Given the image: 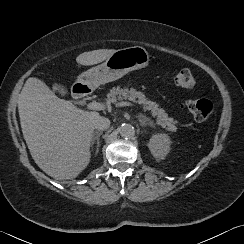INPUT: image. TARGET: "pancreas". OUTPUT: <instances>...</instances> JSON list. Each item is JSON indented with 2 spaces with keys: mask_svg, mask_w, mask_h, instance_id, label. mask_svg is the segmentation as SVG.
Listing matches in <instances>:
<instances>
[{
  "mask_svg": "<svg viewBox=\"0 0 244 244\" xmlns=\"http://www.w3.org/2000/svg\"><path fill=\"white\" fill-rule=\"evenodd\" d=\"M107 99L112 103H116L122 100H130L132 102L142 104L145 109L152 112L153 116L157 117V123L159 125L164 127L167 126L169 131H176L177 129L175 126L177 123L176 120L170 118L157 103L149 100L142 92L136 91L134 88H120V86L113 87L107 94Z\"/></svg>",
  "mask_w": 244,
  "mask_h": 244,
  "instance_id": "1",
  "label": "pancreas"
}]
</instances>
